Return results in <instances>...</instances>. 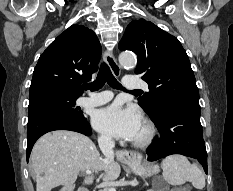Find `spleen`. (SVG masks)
I'll list each match as a JSON object with an SVG mask.
<instances>
[{
    "label": "spleen",
    "mask_w": 233,
    "mask_h": 191,
    "mask_svg": "<svg viewBox=\"0 0 233 191\" xmlns=\"http://www.w3.org/2000/svg\"><path fill=\"white\" fill-rule=\"evenodd\" d=\"M164 180L173 186L189 181L197 189L205 187V178L196 164H191L185 156L170 155L162 163Z\"/></svg>",
    "instance_id": "3e777b00"
}]
</instances>
